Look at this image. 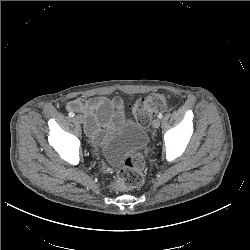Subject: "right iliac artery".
I'll return each mask as SVG.
<instances>
[{"instance_id":"right-iliac-artery-1","label":"right iliac artery","mask_w":250,"mask_h":250,"mask_svg":"<svg viewBox=\"0 0 250 250\" xmlns=\"http://www.w3.org/2000/svg\"><path fill=\"white\" fill-rule=\"evenodd\" d=\"M69 117H73L75 114L73 112H69Z\"/></svg>"}]
</instances>
